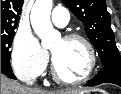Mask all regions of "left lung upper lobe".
Here are the masks:
<instances>
[{"instance_id":"5c2ea615","label":"left lung upper lobe","mask_w":121,"mask_h":94,"mask_svg":"<svg viewBox=\"0 0 121 94\" xmlns=\"http://www.w3.org/2000/svg\"><path fill=\"white\" fill-rule=\"evenodd\" d=\"M85 25V32L106 66H121L105 0H62Z\"/></svg>"}]
</instances>
